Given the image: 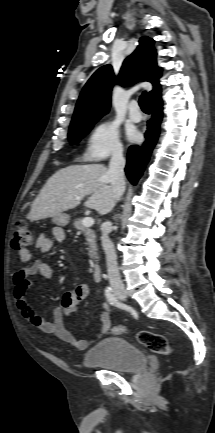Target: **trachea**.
Returning a JSON list of instances; mask_svg holds the SVG:
<instances>
[{"mask_svg": "<svg viewBox=\"0 0 215 433\" xmlns=\"http://www.w3.org/2000/svg\"><path fill=\"white\" fill-rule=\"evenodd\" d=\"M139 105L143 111H149L150 110L148 98H147V93L145 91L142 93V95L139 98Z\"/></svg>", "mask_w": 215, "mask_h": 433, "instance_id": "obj_1", "label": "trachea"}]
</instances>
